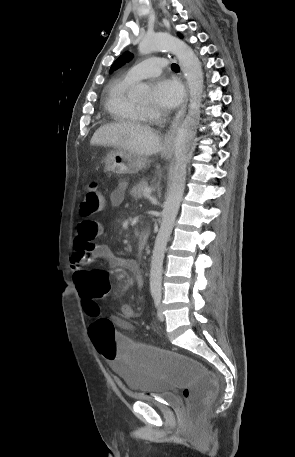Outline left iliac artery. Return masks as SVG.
<instances>
[{
  "label": "left iliac artery",
  "mask_w": 295,
  "mask_h": 457,
  "mask_svg": "<svg viewBox=\"0 0 295 457\" xmlns=\"http://www.w3.org/2000/svg\"><path fill=\"white\" fill-rule=\"evenodd\" d=\"M154 303L156 306H158L160 304V301H161V295L159 293H156L154 294Z\"/></svg>",
  "instance_id": "left-iliac-artery-1"
}]
</instances>
